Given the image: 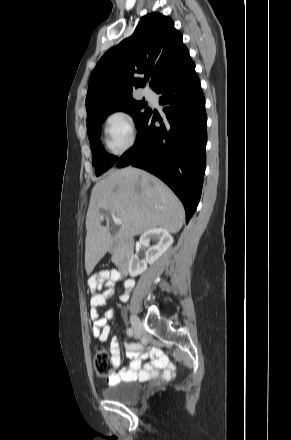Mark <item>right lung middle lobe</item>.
Listing matches in <instances>:
<instances>
[{
    "label": "right lung middle lobe",
    "instance_id": "1",
    "mask_svg": "<svg viewBox=\"0 0 291 440\" xmlns=\"http://www.w3.org/2000/svg\"><path fill=\"white\" fill-rule=\"evenodd\" d=\"M149 109L144 100L137 101L132 97L122 101L100 105L87 112V131L92 151V164L97 176L108 170L117 160V157L109 155L102 150V145L99 140L100 127L105 118L112 112L124 111L133 117L137 127Z\"/></svg>",
    "mask_w": 291,
    "mask_h": 440
}]
</instances>
